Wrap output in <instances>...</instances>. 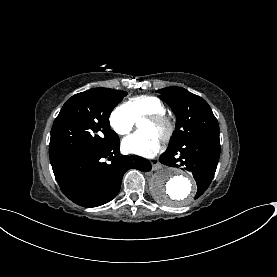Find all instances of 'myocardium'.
<instances>
[{
	"label": "myocardium",
	"instance_id": "f54148a6",
	"mask_svg": "<svg viewBox=\"0 0 277 277\" xmlns=\"http://www.w3.org/2000/svg\"><path fill=\"white\" fill-rule=\"evenodd\" d=\"M146 118L163 126V133L161 136H159L162 141H167L172 137L175 130V125L166 114L159 112H149L146 114Z\"/></svg>",
	"mask_w": 277,
	"mask_h": 277
}]
</instances>
